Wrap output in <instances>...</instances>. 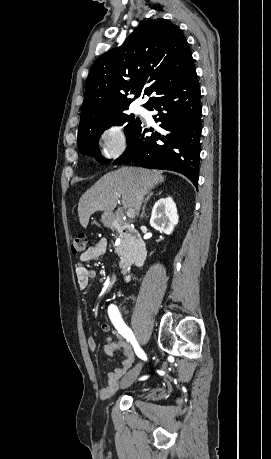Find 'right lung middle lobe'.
Instances as JSON below:
<instances>
[{
    "label": "right lung middle lobe",
    "mask_w": 271,
    "mask_h": 459,
    "mask_svg": "<svg viewBox=\"0 0 271 459\" xmlns=\"http://www.w3.org/2000/svg\"><path fill=\"white\" fill-rule=\"evenodd\" d=\"M131 136L142 124L139 118L128 115L125 112L110 116L97 117L80 122L78 129V149L82 154L94 157L101 164H107L110 160L103 158L98 149V140L105 129L112 125H123Z\"/></svg>",
    "instance_id": "1"
}]
</instances>
